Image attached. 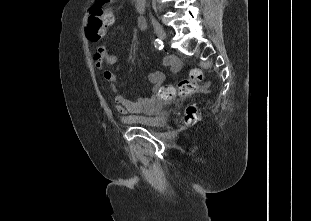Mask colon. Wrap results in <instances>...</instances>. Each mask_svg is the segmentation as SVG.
I'll list each match as a JSON object with an SVG mask.
<instances>
[{
	"label": "colon",
	"mask_w": 311,
	"mask_h": 221,
	"mask_svg": "<svg viewBox=\"0 0 311 221\" xmlns=\"http://www.w3.org/2000/svg\"><path fill=\"white\" fill-rule=\"evenodd\" d=\"M111 0H97L96 4L90 10V25L86 27V39H99L100 31L103 28V35L110 28L113 15L109 7ZM102 35V36H103ZM203 80L202 71L198 68H192L189 75L182 78L176 85L160 88L158 99H169L175 96L188 97L200 90V83ZM199 115L193 107H188L183 120L187 123H195Z\"/></svg>",
	"instance_id": "5ec220e1"
}]
</instances>
